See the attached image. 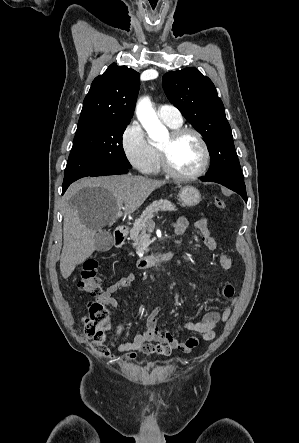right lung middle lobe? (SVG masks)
<instances>
[{
	"mask_svg": "<svg viewBox=\"0 0 299 443\" xmlns=\"http://www.w3.org/2000/svg\"><path fill=\"white\" fill-rule=\"evenodd\" d=\"M130 121H112L77 130L63 184L110 168H128L122 135Z\"/></svg>",
	"mask_w": 299,
	"mask_h": 443,
	"instance_id": "right-lung-middle-lobe-1",
	"label": "right lung middle lobe"
}]
</instances>
